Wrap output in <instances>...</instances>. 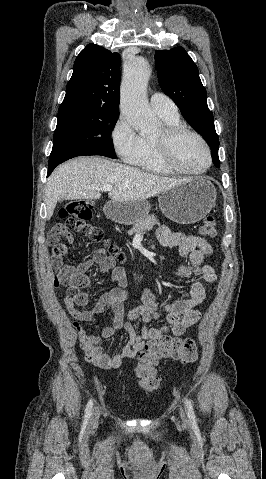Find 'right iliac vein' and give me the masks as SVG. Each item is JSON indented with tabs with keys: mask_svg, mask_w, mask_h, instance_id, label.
I'll use <instances>...</instances> for the list:
<instances>
[{
	"mask_svg": "<svg viewBox=\"0 0 266 479\" xmlns=\"http://www.w3.org/2000/svg\"><path fill=\"white\" fill-rule=\"evenodd\" d=\"M99 416H100V411H99V408L96 407L93 410V413H92V416H91V419H90V422H89V428L90 429L95 428L97 426Z\"/></svg>",
	"mask_w": 266,
	"mask_h": 479,
	"instance_id": "right-iliac-vein-1",
	"label": "right iliac vein"
}]
</instances>
